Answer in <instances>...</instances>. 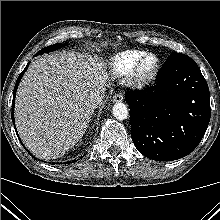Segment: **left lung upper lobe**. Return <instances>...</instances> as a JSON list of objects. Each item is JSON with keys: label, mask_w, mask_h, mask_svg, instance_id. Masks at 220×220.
<instances>
[{"label": "left lung upper lobe", "mask_w": 220, "mask_h": 220, "mask_svg": "<svg viewBox=\"0 0 220 220\" xmlns=\"http://www.w3.org/2000/svg\"><path fill=\"white\" fill-rule=\"evenodd\" d=\"M170 56H184V54L174 52V53H173L172 55H170Z\"/></svg>", "instance_id": "obj_1"}]
</instances>
